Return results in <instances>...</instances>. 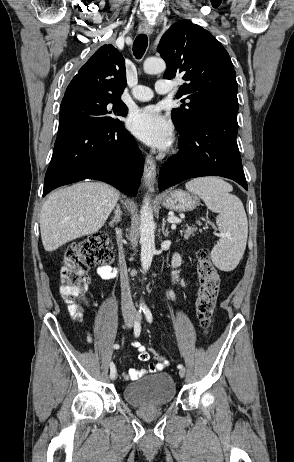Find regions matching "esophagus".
<instances>
[{"label":"esophagus","instance_id":"1","mask_svg":"<svg viewBox=\"0 0 294 462\" xmlns=\"http://www.w3.org/2000/svg\"><path fill=\"white\" fill-rule=\"evenodd\" d=\"M152 26L149 24H143L139 27L138 32L141 34L151 35L152 34ZM156 179V163L152 156L147 155L145 158V165H144V173H143V181L145 186L149 190H153V185Z\"/></svg>","mask_w":294,"mask_h":462}]
</instances>
